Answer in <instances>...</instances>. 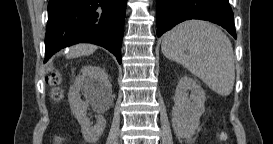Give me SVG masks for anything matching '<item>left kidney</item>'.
<instances>
[{
    "label": "left kidney",
    "instance_id": "left-kidney-1",
    "mask_svg": "<svg viewBox=\"0 0 273 144\" xmlns=\"http://www.w3.org/2000/svg\"><path fill=\"white\" fill-rule=\"evenodd\" d=\"M188 91L191 92L190 97ZM172 110V127L178 138L191 139L205 111V92L191 77L183 76L176 87Z\"/></svg>",
    "mask_w": 273,
    "mask_h": 144
}]
</instances>
